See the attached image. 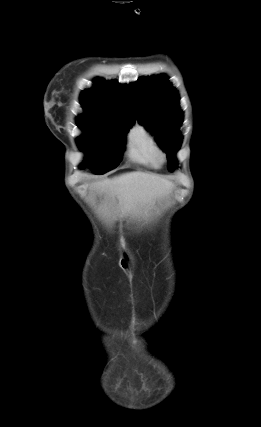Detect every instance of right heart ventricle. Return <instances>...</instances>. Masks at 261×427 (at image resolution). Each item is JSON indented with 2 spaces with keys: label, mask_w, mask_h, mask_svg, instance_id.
Listing matches in <instances>:
<instances>
[{
  "label": "right heart ventricle",
  "mask_w": 261,
  "mask_h": 427,
  "mask_svg": "<svg viewBox=\"0 0 261 427\" xmlns=\"http://www.w3.org/2000/svg\"><path fill=\"white\" fill-rule=\"evenodd\" d=\"M158 143L153 133L144 124L134 125L125 137V155L138 166L156 169Z\"/></svg>",
  "instance_id": "e07e8e85"
}]
</instances>
